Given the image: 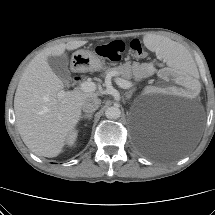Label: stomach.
<instances>
[{"label":"stomach","mask_w":215,"mask_h":215,"mask_svg":"<svg viewBox=\"0 0 215 215\" xmlns=\"http://www.w3.org/2000/svg\"><path fill=\"white\" fill-rule=\"evenodd\" d=\"M71 64L78 71H100L105 69L104 63L95 53L84 49L73 54Z\"/></svg>","instance_id":"obj_1"}]
</instances>
